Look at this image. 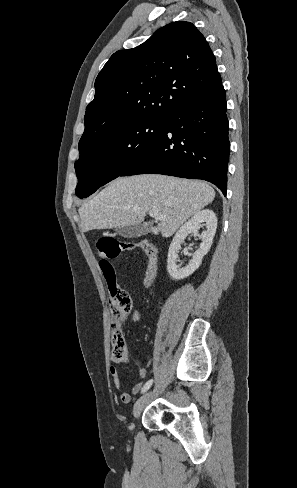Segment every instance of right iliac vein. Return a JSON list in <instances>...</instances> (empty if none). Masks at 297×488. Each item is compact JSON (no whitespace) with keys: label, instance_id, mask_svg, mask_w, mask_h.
I'll return each instance as SVG.
<instances>
[{"label":"right iliac vein","instance_id":"1","mask_svg":"<svg viewBox=\"0 0 297 488\" xmlns=\"http://www.w3.org/2000/svg\"><path fill=\"white\" fill-rule=\"evenodd\" d=\"M150 395H151V392L144 394L135 403V405L133 407V416L135 418H138L140 416V414L142 413L144 407L146 406V404L149 400Z\"/></svg>","mask_w":297,"mask_h":488}]
</instances>
